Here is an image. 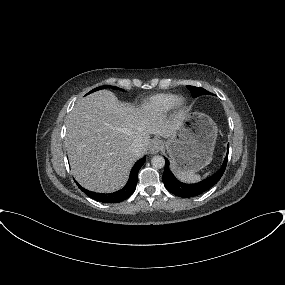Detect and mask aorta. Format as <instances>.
<instances>
[{"label": "aorta", "mask_w": 285, "mask_h": 285, "mask_svg": "<svg viewBox=\"0 0 285 285\" xmlns=\"http://www.w3.org/2000/svg\"><path fill=\"white\" fill-rule=\"evenodd\" d=\"M152 166L156 169H161L165 165V159L162 156L156 155L151 160Z\"/></svg>", "instance_id": "1"}]
</instances>
